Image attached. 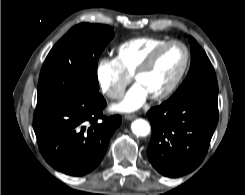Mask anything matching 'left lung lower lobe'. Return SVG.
Masks as SVG:
<instances>
[{"instance_id":"left-lung-lower-lobe-1","label":"left lung lower lobe","mask_w":245,"mask_h":195,"mask_svg":"<svg viewBox=\"0 0 245 195\" xmlns=\"http://www.w3.org/2000/svg\"><path fill=\"white\" fill-rule=\"evenodd\" d=\"M153 167L167 177L190 173L203 161L218 122L217 104L167 100L147 112Z\"/></svg>"}]
</instances>
